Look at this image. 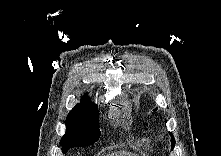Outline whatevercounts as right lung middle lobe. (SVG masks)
Returning a JSON list of instances; mask_svg holds the SVG:
<instances>
[{
    "instance_id": "1",
    "label": "right lung middle lobe",
    "mask_w": 221,
    "mask_h": 156,
    "mask_svg": "<svg viewBox=\"0 0 221 156\" xmlns=\"http://www.w3.org/2000/svg\"><path fill=\"white\" fill-rule=\"evenodd\" d=\"M97 107H77L68 114L66 133L61 138L62 151L95 143L100 137Z\"/></svg>"
}]
</instances>
